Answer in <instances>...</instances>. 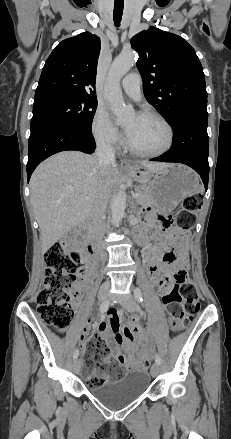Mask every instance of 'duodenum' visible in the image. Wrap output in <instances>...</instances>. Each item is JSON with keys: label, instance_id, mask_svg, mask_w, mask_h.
<instances>
[{"label": "duodenum", "instance_id": "410a0bca", "mask_svg": "<svg viewBox=\"0 0 231 439\" xmlns=\"http://www.w3.org/2000/svg\"><path fill=\"white\" fill-rule=\"evenodd\" d=\"M79 233H80V229L78 227H76L74 229V234H79ZM144 241H146V240H144ZM87 250H88L89 254L91 255L92 261H97L98 257H97L96 252H95L94 242L91 241L89 244H87ZM149 267H150V265H149Z\"/></svg>", "mask_w": 231, "mask_h": 439}]
</instances>
